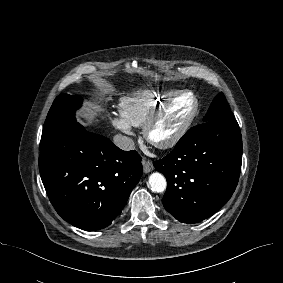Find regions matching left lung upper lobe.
<instances>
[{
  "label": "left lung upper lobe",
  "mask_w": 283,
  "mask_h": 283,
  "mask_svg": "<svg viewBox=\"0 0 283 283\" xmlns=\"http://www.w3.org/2000/svg\"><path fill=\"white\" fill-rule=\"evenodd\" d=\"M218 119H235L223 93H219L213 100L204 117V122Z\"/></svg>",
  "instance_id": "5c2ea615"
}]
</instances>
